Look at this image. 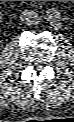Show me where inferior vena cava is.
Here are the masks:
<instances>
[{
    "mask_svg": "<svg viewBox=\"0 0 74 122\" xmlns=\"http://www.w3.org/2000/svg\"><path fill=\"white\" fill-rule=\"evenodd\" d=\"M34 14L33 11H30V10H24L21 15H20V19L22 22H25V23H29V18Z\"/></svg>",
    "mask_w": 74,
    "mask_h": 122,
    "instance_id": "602c4592",
    "label": "inferior vena cava"
}]
</instances>
